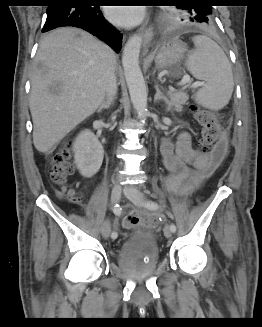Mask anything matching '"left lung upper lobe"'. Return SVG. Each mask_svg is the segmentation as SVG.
I'll list each match as a JSON object with an SVG mask.
<instances>
[{
  "label": "left lung upper lobe",
  "instance_id": "5c2ea615",
  "mask_svg": "<svg viewBox=\"0 0 262 327\" xmlns=\"http://www.w3.org/2000/svg\"><path fill=\"white\" fill-rule=\"evenodd\" d=\"M176 6L177 13L163 12V22L167 26H198L208 28L213 26L214 18L212 7L208 4H200L199 0H181Z\"/></svg>",
  "mask_w": 262,
  "mask_h": 327
}]
</instances>
